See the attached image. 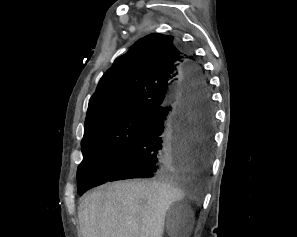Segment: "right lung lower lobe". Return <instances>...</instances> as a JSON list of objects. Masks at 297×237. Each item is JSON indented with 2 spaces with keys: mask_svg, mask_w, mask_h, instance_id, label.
<instances>
[{
  "mask_svg": "<svg viewBox=\"0 0 297 237\" xmlns=\"http://www.w3.org/2000/svg\"><path fill=\"white\" fill-rule=\"evenodd\" d=\"M186 80L169 103L153 112L140 136L99 185L209 170L213 149V110L207 83L193 56Z\"/></svg>",
  "mask_w": 297,
  "mask_h": 237,
  "instance_id": "1",
  "label": "right lung lower lobe"
}]
</instances>
